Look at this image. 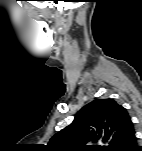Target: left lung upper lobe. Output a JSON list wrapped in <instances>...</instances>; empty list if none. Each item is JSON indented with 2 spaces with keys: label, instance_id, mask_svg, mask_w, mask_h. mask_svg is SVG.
<instances>
[{
  "label": "left lung upper lobe",
  "instance_id": "1",
  "mask_svg": "<svg viewBox=\"0 0 142 151\" xmlns=\"http://www.w3.org/2000/svg\"><path fill=\"white\" fill-rule=\"evenodd\" d=\"M133 130L124 107L113 99H95L76 114L69 126L55 134L48 146L54 151H117ZM97 141L106 146L88 144Z\"/></svg>",
  "mask_w": 142,
  "mask_h": 151
}]
</instances>
